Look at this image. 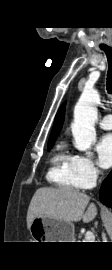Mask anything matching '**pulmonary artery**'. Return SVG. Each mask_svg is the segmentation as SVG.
I'll return each mask as SVG.
<instances>
[{"instance_id": "obj_1", "label": "pulmonary artery", "mask_w": 112, "mask_h": 270, "mask_svg": "<svg viewBox=\"0 0 112 270\" xmlns=\"http://www.w3.org/2000/svg\"><path fill=\"white\" fill-rule=\"evenodd\" d=\"M99 126L104 130L112 129V115L105 116L99 123Z\"/></svg>"}]
</instances>
